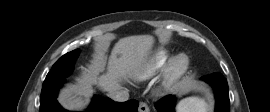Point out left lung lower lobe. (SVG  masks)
Masks as SVG:
<instances>
[{
  "instance_id": "left-lung-lower-lobe-1",
  "label": "left lung lower lobe",
  "mask_w": 270,
  "mask_h": 112,
  "mask_svg": "<svg viewBox=\"0 0 270 112\" xmlns=\"http://www.w3.org/2000/svg\"><path fill=\"white\" fill-rule=\"evenodd\" d=\"M201 79L209 83L215 92L216 108L215 112H230V101L228 94V84L226 78L221 73H213L203 76ZM175 97L165 96L155 104L158 112H175Z\"/></svg>"
}]
</instances>
